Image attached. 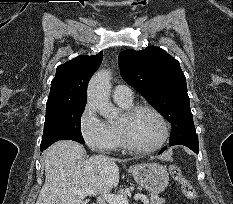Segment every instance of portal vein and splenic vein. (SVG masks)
Returning <instances> with one entry per match:
<instances>
[{
  "label": "portal vein and splenic vein",
  "instance_id": "portal-vein-and-splenic-vein-1",
  "mask_svg": "<svg viewBox=\"0 0 233 204\" xmlns=\"http://www.w3.org/2000/svg\"><path fill=\"white\" fill-rule=\"evenodd\" d=\"M70 191L77 194L82 199L85 198L86 196L96 195V193L89 188L73 187V188H70ZM103 199H105L109 204H129L128 199L123 195L105 194L103 196ZM134 199L141 200L144 203L148 202L147 197L145 195H142V194H136L134 196Z\"/></svg>",
  "mask_w": 233,
  "mask_h": 204
}]
</instances>
